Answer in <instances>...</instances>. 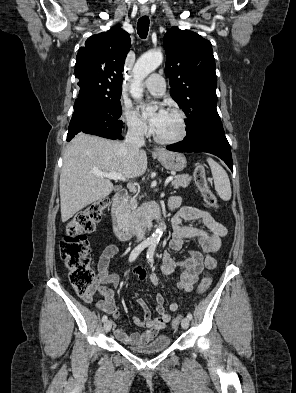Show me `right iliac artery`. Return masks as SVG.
Returning <instances> with one entry per match:
<instances>
[{
	"label": "right iliac artery",
	"mask_w": 296,
	"mask_h": 393,
	"mask_svg": "<svg viewBox=\"0 0 296 393\" xmlns=\"http://www.w3.org/2000/svg\"><path fill=\"white\" fill-rule=\"evenodd\" d=\"M151 241H144L141 244H139L137 247L134 248V250L131 252L130 256H129V261L132 262L134 261L138 255L141 253L142 250H144L146 247L151 245ZM107 321V316L104 315L102 317V322H106Z\"/></svg>",
	"instance_id": "obj_1"
}]
</instances>
